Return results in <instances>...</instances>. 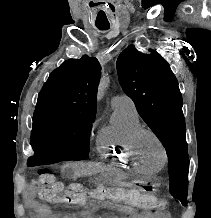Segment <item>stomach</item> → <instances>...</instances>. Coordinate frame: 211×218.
<instances>
[{"instance_id":"1","label":"stomach","mask_w":211,"mask_h":218,"mask_svg":"<svg viewBox=\"0 0 211 218\" xmlns=\"http://www.w3.org/2000/svg\"><path fill=\"white\" fill-rule=\"evenodd\" d=\"M99 181L109 186L135 187L148 183L147 179L139 178L128 174H104L99 177Z\"/></svg>"}]
</instances>
